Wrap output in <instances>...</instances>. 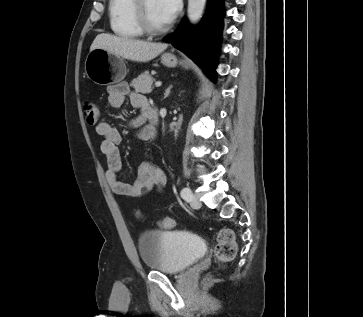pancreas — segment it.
Instances as JSON below:
<instances>
[{"label":"pancreas","instance_id":"pancreas-1","mask_svg":"<svg viewBox=\"0 0 363 317\" xmlns=\"http://www.w3.org/2000/svg\"><path fill=\"white\" fill-rule=\"evenodd\" d=\"M154 81L155 79L151 77L148 72H145L133 79L130 86L133 87L136 92L146 94L152 91V84Z\"/></svg>","mask_w":363,"mask_h":317}]
</instances>
